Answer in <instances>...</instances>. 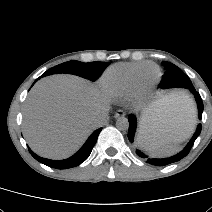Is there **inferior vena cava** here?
Segmentation results:
<instances>
[{"instance_id":"1","label":"inferior vena cava","mask_w":212,"mask_h":212,"mask_svg":"<svg viewBox=\"0 0 212 212\" xmlns=\"http://www.w3.org/2000/svg\"><path fill=\"white\" fill-rule=\"evenodd\" d=\"M107 119H108L107 113H102L97 117L93 118V123L95 127H100L106 123Z\"/></svg>"}]
</instances>
